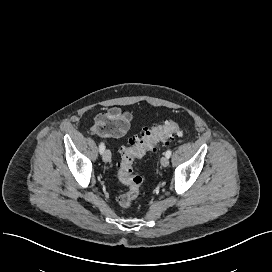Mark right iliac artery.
<instances>
[{"instance_id":"obj_1","label":"right iliac artery","mask_w":272,"mask_h":272,"mask_svg":"<svg viewBox=\"0 0 272 272\" xmlns=\"http://www.w3.org/2000/svg\"><path fill=\"white\" fill-rule=\"evenodd\" d=\"M104 150H105V145H104L103 142H101L100 145H99V151L102 154L104 152Z\"/></svg>"}]
</instances>
